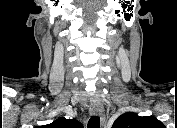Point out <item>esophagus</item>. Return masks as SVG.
Here are the masks:
<instances>
[{"instance_id":"34e87169","label":"esophagus","mask_w":177,"mask_h":128,"mask_svg":"<svg viewBox=\"0 0 177 128\" xmlns=\"http://www.w3.org/2000/svg\"><path fill=\"white\" fill-rule=\"evenodd\" d=\"M90 114L93 116H100L104 120V108L99 105H91L89 108Z\"/></svg>"}]
</instances>
